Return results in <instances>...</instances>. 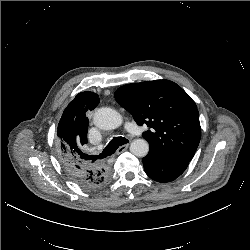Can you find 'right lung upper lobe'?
<instances>
[{
  "mask_svg": "<svg viewBox=\"0 0 250 250\" xmlns=\"http://www.w3.org/2000/svg\"><path fill=\"white\" fill-rule=\"evenodd\" d=\"M99 103L96 93L84 91L77 94L63 112L58 124L60 158L65 169L78 171L91 169L96 173L109 170L107 163L99 157L82 152L87 144L88 118L86 114Z\"/></svg>",
  "mask_w": 250,
  "mask_h": 250,
  "instance_id": "right-lung-upper-lobe-1",
  "label": "right lung upper lobe"
}]
</instances>
